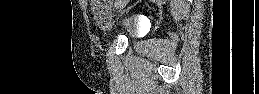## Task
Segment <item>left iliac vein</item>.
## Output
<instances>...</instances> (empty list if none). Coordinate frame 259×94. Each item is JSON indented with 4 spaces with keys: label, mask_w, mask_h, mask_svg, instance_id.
Segmentation results:
<instances>
[{
    "label": "left iliac vein",
    "mask_w": 259,
    "mask_h": 94,
    "mask_svg": "<svg viewBox=\"0 0 259 94\" xmlns=\"http://www.w3.org/2000/svg\"><path fill=\"white\" fill-rule=\"evenodd\" d=\"M126 2H127V1H124V2L122 3V5H121V6H122V8H123V7H124V5L126 4Z\"/></svg>",
    "instance_id": "4c4485c4"
}]
</instances>
